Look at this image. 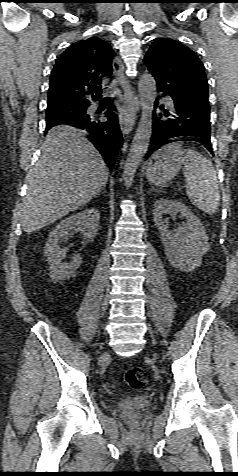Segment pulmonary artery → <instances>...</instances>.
Segmentation results:
<instances>
[{
	"mask_svg": "<svg viewBox=\"0 0 238 476\" xmlns=\"http://www.w3.org/2000/svg\"><path fill=\"white\" fill-rule=\"evenodd\" d=\"M165 103H166L169 107H173V102H172L170 99H166V100H165Z\"/></svg>",
	"mask_w": 238,
	"mask_h": 476,
	"instance_id": "obj_1",
	"label": "pulmonary artery"
}]
</instances>
